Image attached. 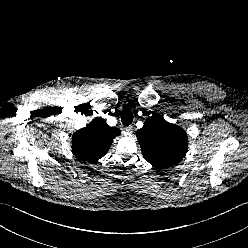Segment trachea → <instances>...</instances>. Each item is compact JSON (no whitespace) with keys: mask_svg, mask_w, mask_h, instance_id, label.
Returning <instances> with one entry per match:
<instances>
[{"mask_svg":"<svg viewBox=\"0 0 248 248\" xmlns=\"http://www.w3.org/2000/svg\"><path fill=\"white\" fill-rule=\"evenodd\" d=\"M121 121L123 125H130L133 121V113L129 108H125L121 113Z\"/></svg>","mask_w":248,"mask_h":248,"instance_id":"obj_1","label":"trachea"}]
</instances>
